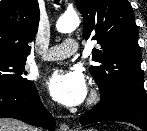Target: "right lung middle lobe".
Instances as JSON below:
<instances>
[{
    "mask_svg": "<svg viewBox=\"0 0 147 131\" xmlns=\"http://www.w3.org/2000/svg\"><path fill=\"white\" fill-rule=\"evenodd\" d=\"M26 59L0 57V87L20 89L28 88L33 82L26 79L24 71Z\"/></svg>",
    "mask_w": 147,
    "mask_h": 131,
    "instance_id": "obj_1",
    "label": "right lung middle lobe"
}]
</instances>
